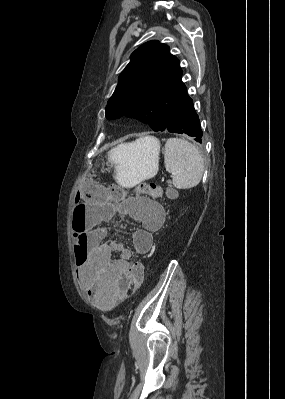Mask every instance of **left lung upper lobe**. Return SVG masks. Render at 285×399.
I'll list each match as a JSON object with an SVG mask.
<instances>
[{"instance_id": "obj_1", "label": "left lung upper lobe", "mask_w": 285, "mask_h": 399, "mask_svg": "<svg viewBox=\"0 0 285 399\" xmlns=\"http://www.w3.org/2000/svg\"><path fill=\"white\" fill-rule=\"evenodd\" d=\"M179 60L158 41L141 45L119 76L118 85L106 106V118L123 115L164 131L169 115L186 89Z\"/></svg>"}]
</instances>
